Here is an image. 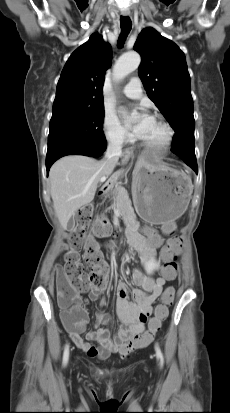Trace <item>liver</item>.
<instances>
[{"label":"liver","instance_id":"obj_1","mask_svg":"<svg viewBox=\"0 0 230 413\" xmlns=\"http://www.w3.org/2000/svg\"><path fill=\"white\" fill-rule=\"evenodd\" d=\"M114 168L107 159L97 161L83 155L65 156L52 165L51 198L63 229L79 208L94 199L100 178L110 176Z\"/></svg>","mask_w":230,"mask_h":413}]
</instances>
